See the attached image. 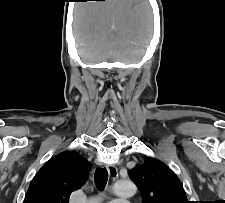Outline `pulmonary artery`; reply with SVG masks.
Wrapping results in <instances>:
<instances>
[{
    "label": "pulmonary artery",
    "mask_w": 225,
    "mask_h": 203,
    "mask_svg": "<svg viewBox=\"0 0 225 203\" xmlns=\"http://www.w3.org/2000/svg\"><path fill=\"white\" fill-rule=\"evenodd\" d=\"M109 203H129L128 201H111Z\"/></svg>",
    "instance_id": "1"
}]
</instances>
